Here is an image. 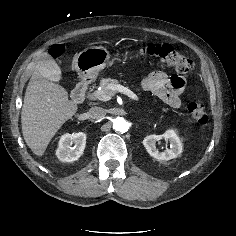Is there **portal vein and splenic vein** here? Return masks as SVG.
<instances>
[{
  "label": "portal vein and splenic vein",
  "mask_w": 236,
  "mask_h": 236,
  "mask_svg": "<svg viewBox=\"0 0 236 236\" xmlns=\"http://www.w3.org/2000/svg\"><path fill=\"white\" fill-rule=\"evenodd\" d=\"M110 89L114 92L123 93L133 100H138V96L134 92H132L130 89H128L127 87H124L120 84L113 85L110 87ZM110 99H111V97L107 96V95H100L99 96V100H102V101H108Z\"/></svg>",
  "instance_id": "obj_1"
}]
</instances>
